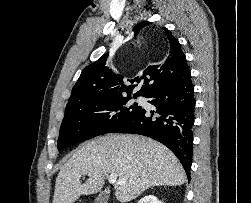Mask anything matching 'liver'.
Returning <instances> with one entry per match:
<instances>
[{
    "label": "liver",
    "instance_id": "obj_1",
    "mask_svg": "<svg viewBox=\"0 0 251 203\" xmlns=\"http://www.w3.org/2000/svg\"><path fill=\"white\" fill-rule=\"evenodd\" d=\"M116 174V199L129 202L154 186H180L186 177L177 157L164 145L132 134H108L80 146L61 167L53 203H74L82 195L101 191L105 178ZM89 179L81 183L80 178Z\"/></svg>",
    "mask_w": 251,
    "mask_h": 203
}]
</instances>
